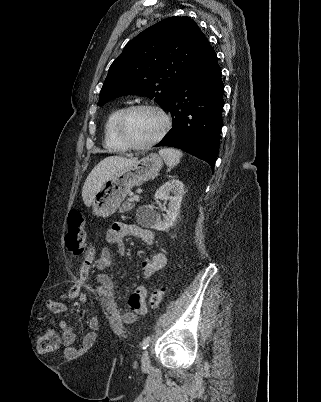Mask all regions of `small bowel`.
Returning <instances> with one entry per match:
<instances>
[{"instance_id": "small-bowel-1", "label": "small bowel", "mask_w": 321, "mask_h": 402, "mask_svg": "<svg viewBox=\"0 0 321 402\" xmlns=\"http://www.w3.org/2000/svg\"><path fill=\"white\" fill-rule=\"evenodd\" d=\"M132 236L139 238L147 245H152L155 241L154 233L146 228H143L135 223H114L106 236L107 247L103 248L94 263V269L98 272L97 282L104 288V290L112 297H116L115 287L109 275L103 273L108 268L114 258L113 250L118 255L125 254L124 238ZM167 263V256L163 252L155 253L145 258L142 262V274L145 279L152 278L159 270L163 269ZM147 295V288L145 285H140L129 297V307L131 310H124L122 312V320L126 324H133L136 322L139 312L134 311L130 302H136L140 299L145 300ZM85 310L91 308V305L85 303L83 305ZM44 311L51 314H63L67 311V306L62 302L51 301L45 303ZM96 321L90 322L91 330L83 332L82 344L74 346L76 340L74 325L68 321H61L60 328L63 331L64 339V354L67 358H83L84 353H88L89 347L96 345Z\"/></svg>"}]
</instances>
